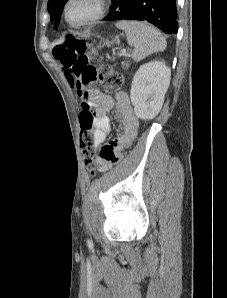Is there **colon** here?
I'll return each instance as SVG.
<instances>
[{
  "mask_svg": "<svg viewBox=\"0 0 227 298\" xmlns=\"http://www.w3.org/2000/svg\"><path fill=\"white\" fill-rule=\"evenodd\" d=\"M90 54V44L71 35H67L53 49V55L64 68L70 85L82 98L80 147L85 156L86 165L92 170L94 138L91 130L96 114L92 110L91 88L96 82H100L105 88L114 89L122 84L123 79L108 65L97 67L90 64Z\"/></svg>",
  "mask_w": 227,
  "mask_h": 298,
  "instance_id": "5ec220e1",
  "label": "colon"
}]
</instances>
